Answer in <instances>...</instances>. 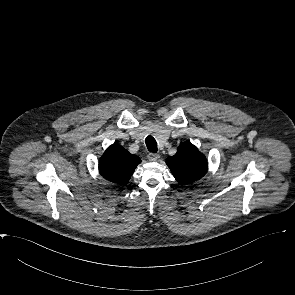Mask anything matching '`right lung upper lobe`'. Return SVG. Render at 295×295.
<instances>
[{
	"label": "right lung upper lobe",
	"mask_w": 295,
	"mask_h": 295,
	"mask_svg": "<svg viewBox=\"0 0 295 295\" xmlns=\"http://www.w3.org/2000/svg\"><path fill=\"white\" fill-rule=\"evenodd\" d=\"M140 162L138 156L129 153L120 145L113 144L100 158L99 172L108 181L124 185Z\"/></svg>",
	"instance_id": "obj_1"
}]
</instances>
